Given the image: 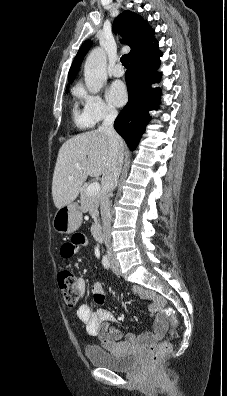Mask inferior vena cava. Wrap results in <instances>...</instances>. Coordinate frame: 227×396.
I'll return each instance as SVG.
<instances>
[{
    "label": "inferior vena cava",
    "mask_w": 227,
    "mask_h": 396,
    "mask_svg": "<svg viewBox=\"0 0 227 396\" xmlns=\"http://www.w3.org/2000/svg\"><path fill=\"white\" fill-rule=\"evenodd\" d=\"M118 113L115 109H108L99 131L104 132L109 139L110 156L102 177L101 217L103 225L104 243L107 252L111 255V202L110 196L117 186L119 174L123 163V152L119 147V135L114 130L113 124Z\"/></svg>",
    "instance_id": "inferior-vena-cava-1"
}]
</instances>
